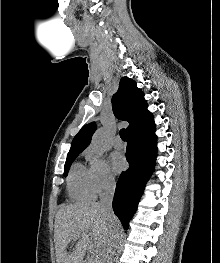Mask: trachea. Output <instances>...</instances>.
Masks as SVG:
<instances>
[{
  "instance_id": "trachea-1",
  "label": "trachea",
  "mask_w": 220,
  "mask_h": 263,
  "mask_svg": "<svg viewBox=\"0 0 220 263\" xmlns=\"http://www.w3.org/2000/svg\"><path fill=\"white\" fill-rule=\"evenodd\" d=\"M120 137L123 141L126 140V130L125 129H121L120 130Z\"/></svg>"
}]
</instances>
